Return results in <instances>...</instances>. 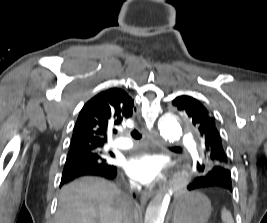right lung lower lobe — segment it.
Here are the masks:
<instances>
[{
    "label": "right lung lower lobe",
    "mask_w": 267,
    "mask_h": 223,
    "mask_svg": "<svg viewBox=\"0 0 267 223\" xmlns=\"http://www.w3.org/2000/svg\"><path fill=\"white\" fill-rule=\"evenodd\" d=\"M81 176H98L112 180L117 176V168L114 166L105 169H89L81 172L62 173L60 186Z\"/></svg>",
    "instance_id": "obj_1"
}]
</instances>
